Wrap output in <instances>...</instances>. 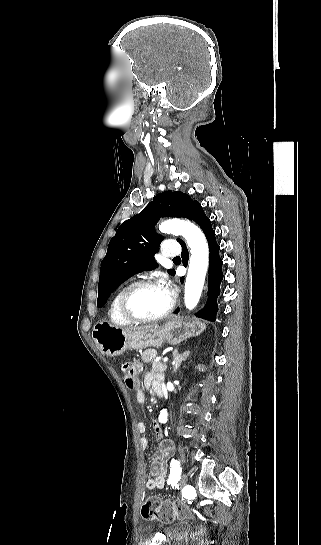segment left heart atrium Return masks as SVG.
Returning <instances> with one entry per match:
<instances>
[{"label": "left heart atrium", "instance_id": "39dd6f15", "mask_svg": "<svg viewBox=\"0 0 321 545\" xmlns=\"http://www.w3.org/2000/svg\"><path fill=\"white\" fill-rule=\"evenodd\" d=\"M161 288L164 289L172 300L175 295V287L166 277H163L161 280Z\"/></svg>", "mask_w": 321, "mask_h": 545}]
</instances>
